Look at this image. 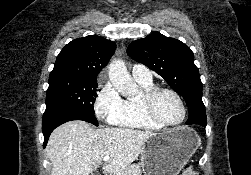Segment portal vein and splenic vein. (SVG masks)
I'll use <instances>...</instances> for the list:
<instances>
[{"instance_id":"18ae733b","label":"portal vein and splenic vein","mask_w":251,"mask_h":175,"mask_svg":"<svg viewBox=\"0 0 251 175\" xmlns=\"http://www.w3.org/2000/svg\"><path fill=\"white\" fill-rule=\"evenodd\" d=\"M109 159H110V155H104L103 161H109Z\"/></svg>"}]
</instances>
